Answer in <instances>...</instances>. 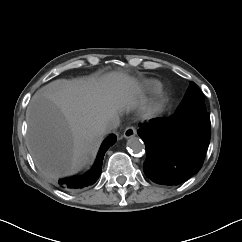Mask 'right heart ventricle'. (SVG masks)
<instances>
[{"instance_id": "obj_1", "label": "right heart ventricle", "mask_w": 242, "mask_h": 242, "mask_svg": "<svg viewBox=\"0 0 242 242\" xmlns=\"http://www.w3.org/2000/svg\"><path fill=\"white\" fill-rule=\"evenodd\" d=\"M141 88L145 92H157L161 90L162 84L156 79H147L142 83Z\"/></svg>"}]
</instances>
